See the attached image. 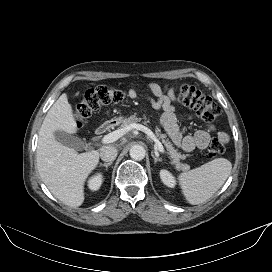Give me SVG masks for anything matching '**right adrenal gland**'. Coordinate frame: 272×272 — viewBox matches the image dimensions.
<instances>
[{"label": "right adrenal gland", "mask_w": 272, "mask_h": 272, "mask_svg": "<svg viewBox=\"0 0 272 272\" xmlns=\"http://www.w3.org/2000/svg\"><path fill=\"white\" fill-rule=\"evenodd\" d=\"M110 165H112V162H108V163H100V166H104L105 168H106V170H107V168L110 166Z\"/></svg>", "instance_id": "1"}]
</instances>
